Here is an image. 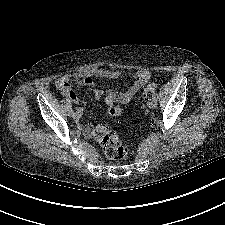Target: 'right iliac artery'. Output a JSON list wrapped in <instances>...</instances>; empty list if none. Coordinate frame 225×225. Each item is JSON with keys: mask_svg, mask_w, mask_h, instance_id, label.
I'll return each mask as SVG.
<instances>
[{"mask_svg": "<svg viewBox=\"0 0 225 225\" xmlns=\"http://www.w3.org/2000/svg\"><path fill=\"white\" fill-rule=\"evenodd\" d=\"M70 114H71V115L73 114V110H71Z\"/></svg>", "mask_w": 225, "mask_h": 225, "instance_id": "1", "label": "right iliac artery"}]
</instances>
